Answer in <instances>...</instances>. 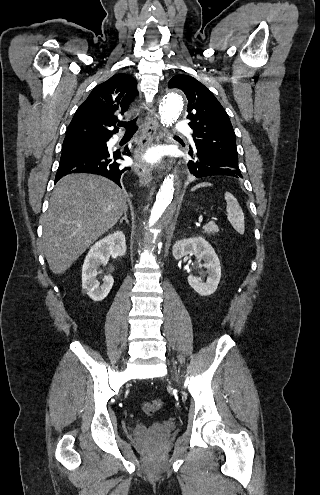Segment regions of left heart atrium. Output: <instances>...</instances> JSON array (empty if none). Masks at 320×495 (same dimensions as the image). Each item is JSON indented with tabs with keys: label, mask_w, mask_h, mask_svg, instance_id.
I'll return each instance as SVG.
<instances>
[{
	"label": "left heart atrium",
	"mask_w": 320,
	"mask_h": 495,
	"mask_svg": "<svg viewBox=\"0 0 320 495\" xmlns=\"http://www.w3.org/2000/svg\"><path fill=\"white\" fill-rule=\"evenodd\" d=\"M159 158V152L158 150H149L143 155V159L147 162H156Z\"/></svg>",
	"instance_id": "39dd6f15"
}]
</instances>
